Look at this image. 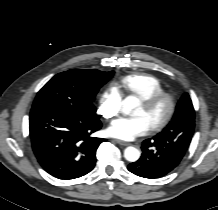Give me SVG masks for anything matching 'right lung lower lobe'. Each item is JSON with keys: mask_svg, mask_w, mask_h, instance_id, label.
I'll return each mask as SVG.
<instances>
[{"mask_svg": "<svg viewBox=\"0 0 218 210\" xmlns=\"http://www.w3.org/2000/svg\"><path fill=\"white\" fill-rule=\"evenodd\" d=\"M99 116H86L57 106H40L30 113L29 133L42 168L59 179L89 173L104 139L91 134L101 128Z\"/></svg>", "mask_w": 218, "mask_h": 210, "instance_id": "right-lung-lower-lobe-1", "label": "right lung lower lobe"}]
</instances>
